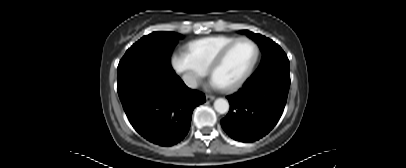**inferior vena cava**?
<instances>
[{
	"mask_svg": "<svg viewBox=\"0 0 406 168\" xmlns=\"http://www.w3.org/2000/svg\"><path fill=\"white\" fill-rule=\"evenodd\" d=\"M182 78H183V81L185 82V84L188 87H191V88H196L197 87L198 79L192 73H186V74L183 75Z\"/></svg>",
	"mask_w": 406,
	"mask_h": 168,
	"instance_id": "obj_1",
	"label": "inferior vena cava"
}]
</instances>
